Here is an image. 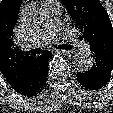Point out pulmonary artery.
I'll return each mask as SVG.
<instances>
[{
    "label": "pulmonary artery",
    "mask_w": 113,
    "mask_h": 113,
    "mask_svg": "<svg viewBox=\"0 0 113 113\" xmlns=\"http://www.w3.org/2000/svg\"><path fill=\"white\" fill-rule=\"evenodd\" d=\"M42 7L45 12L44 24L42 28L31 37L30 42L26 43V48L43 46L47 44L58 31L64 29L59 20V2L57 0H47L43 2ZM79 47L82 50H87L86 43H82Z\"/></svg>",
    "instance_id": "1"
}]
</instances>
